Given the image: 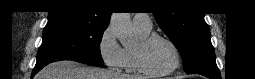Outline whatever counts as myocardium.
<instances>
[{
  "label": "myocardium",
  "instance_id": "obj_1",
  "mask_svg": "<svg viewBox=\"0 0 255 79\" xmlns=\"http://www.w3.org/2000/svg\"><path fill=\"white\" fill-rule=\"evenodd\" d=\"M157 39H161L165 41L166 43H168L174 54L173 64L167 70L159 71V72L150 69L146 63V58H145V52L147 48L153 41ZM135 59H136L137 68L141 73L145 75H150V76H165V75L171 74L172 72H174L175 70L179 68L181 63V53L173 40H171L165 35L153 33L148 35L146 38L142 39L139 42V44L136 46Z\"/></svg>",
  "mask_w": 255,
  "mask_h": 79
}]
</instances>
